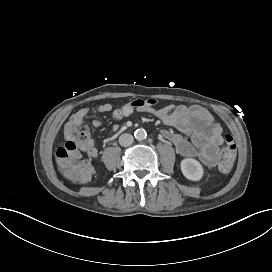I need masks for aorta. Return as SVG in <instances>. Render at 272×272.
I'll return each instance as SVG.
<instances>
[{
    "label": "aorta",
    "mask_w": 272,
    "mask_h": 272,
    "mask_svg": "<svg viewBox=\"0 0 272 272\" xmlns=\"http://www.w3.org/2000/svg\"><path fill=\"white\" fill-rule=\"evenodd\" d=\"M134 137L137 139V140H139V141H141V140H144L146 137H147V133H146V131L144 130V129H137V130H135V132H134Z\"/></svg>",
    "instance_id": "1"
}]
</instances>
